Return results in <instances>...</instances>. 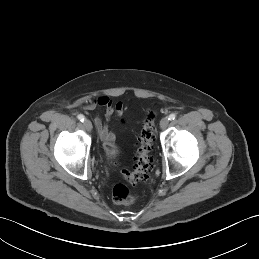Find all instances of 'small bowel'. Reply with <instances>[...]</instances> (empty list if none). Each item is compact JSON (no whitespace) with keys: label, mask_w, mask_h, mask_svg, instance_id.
Returning <instances> with one entry per match:
<instances>
[{"label":"small bowel","mask_w":259,"mask_h":259,"mask_svg":"<svg viewBox=\"0 0 259 259\" xmlns=\"http://www.w3.org/2000/svg\"><path fill=\"white\" fill-rule=\"evenodd\" d=\"M85 106L88 109L99 107L103 110V116H96L95 126L100 139L104 142L105 148L112 147L115 141V133L109 126L108 121L112 117H122L124 111L123 103L120 101L114 103L109 97L100 96L96 99L87 101ZM104 118L106 121H104Z\"/></svg>","instance_id":"c3829d8e"}]
</instances>
